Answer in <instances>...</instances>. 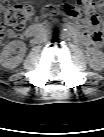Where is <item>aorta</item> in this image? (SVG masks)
I'll list each match as a JSON object with an SVG mask.
<instances>
[{
    "mask_svg": "<svg viewBox=\"0 0 104 137\" xmlns=\"http://www.w3.org/2000/svg\"><path fill=\"white\" fill-rule=\"evenodd\" d=\"M60 36H61V37H63V36H64V34H63V33H61V34H60Z\"/></svg>",
    "mask_w": 104,
    "mask_h": 137,
    "instance_id": "762f6f07",
    "label": "aorta"
}]
</instances>
